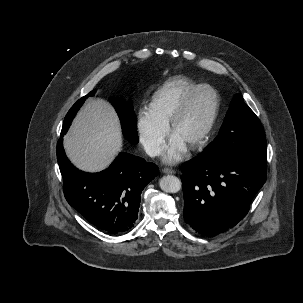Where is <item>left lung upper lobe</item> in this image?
<instances>
[{"instance_id":"obj_1","label":"left lung upper lobe","mask_w":303,"mask_h":303,"mask_svg":"<svg viewBox=\"0 0 303 303\" xmlns=\"http://www.w3.org/2000/svg\"><path fill=\"white\" fill-rule=\"evenodd\" d=\"M207 156H231L236 160L266 167L267 146L264 130L255 113L236 94L230 104L218 136L203 153Z\"/></svg>"}]
</instances>
